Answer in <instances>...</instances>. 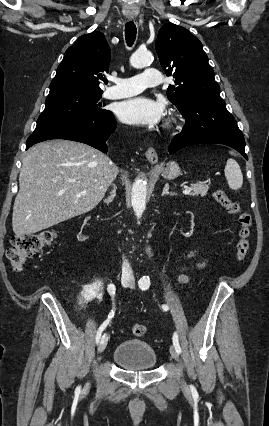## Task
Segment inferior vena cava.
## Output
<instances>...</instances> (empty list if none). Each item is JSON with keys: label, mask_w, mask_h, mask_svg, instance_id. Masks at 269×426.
<instances>
[{"label": "inferior vena cava", "mask_w": 269, "mask_h": 426, "mask_svg": "<svg viewBox=\"0 0 269 426\" xmlns=\"http://www.w3.org/2000/svg\"><path fill=\"white\" fill-rule=\"evenodd\" d=\"M131 274H132L131 267H130L128 261L125 260L123 262V266H122V275L125 276V275H131Z\"/></svg>", "instance_id": "602c4592"}]
</instances>
